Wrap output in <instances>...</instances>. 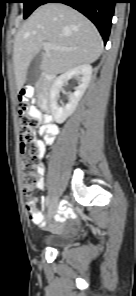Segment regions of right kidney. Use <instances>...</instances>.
<instances>
[{
	"label": "right kidney",
	"instance_id": "1",
	"mask_svg": "<svg viewBox=\"0 0 136 296\" xmlns=\"http://www.w3.org/2000/svg\"><path fill=\"white\" fill-rule=\"evenodd\" d=\"M91 76V65L83 64L66 71L56 78L50 90V103L52 115L57 123H63L75 111L78 102L90 83ZM73 77L78 80L79 85L76 87L75 92L69 95L68 103L60 106L58 104L60 90Z\"/></svg>",
	"mask_w": 136,
	"mask_h": 296
}]
</instances>
